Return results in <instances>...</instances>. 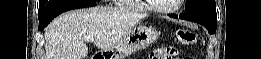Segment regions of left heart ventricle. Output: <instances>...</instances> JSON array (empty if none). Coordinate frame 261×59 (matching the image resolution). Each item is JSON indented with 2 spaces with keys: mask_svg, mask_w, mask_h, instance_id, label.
<instances>
[{
  "mask_svg": "<svg viewBox=\"0 0 261 59\" xmlns=\"http://www.w3.org/2000/svg\"><path fill=\"white\" fill-rule=\"evenodd\" d=\"M152 2L154 5L162 8H171L177 4V0H156Z\"/></svg>",
  "mask_w": 261,
  "mask_h": 59,
  "instance_id": "obj_1",
  "label": "left heart ventricle"
}]
</instances>
